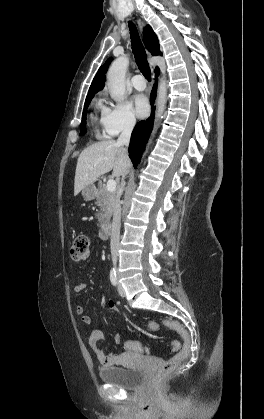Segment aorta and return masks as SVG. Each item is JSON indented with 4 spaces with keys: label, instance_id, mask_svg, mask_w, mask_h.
Returning a JSON list of instances; mask_svg holds the SVG:
<instances>
[{
    "label": "aorta",
    "instance_id": "762f6f07",
    "mask_svg": "<svg viewBox=\"0 0 264 419\" xmlns=\"http://www.w3.org/2000/svg\"><path fill=\"white\" fill-rule=\"evenodd\" d=\"M129 65L128 57L117 58L110 66L107 72V85L110 91V95L117 101H123L125 95V73ZM167 101V86L166 82L161 79L158 86L157 93V106L155 121L156 123L162 118L165 105ZM158 125L155 124L154 132Z\"/></svg>",
    "mask_w": 264,
    "mask_h": 419
}]
</instances>
